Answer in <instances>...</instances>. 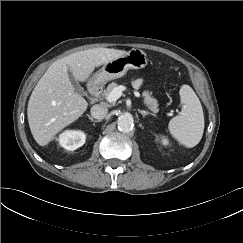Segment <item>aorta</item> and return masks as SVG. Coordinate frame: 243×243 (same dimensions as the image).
<instances>
[{
    "instance_id": "aorta-1",
    "label": "aorta",
    "mask_w": 243,
    "mask_h": 243,
    "mask_svg": "<svg viewBox=\"0 0 243 243\" xmlns=\"http://www.w3.org/2000/svg\"><path fill=\"white\" fill-rule=\"evenodd\" d=\"M133 123L134 118L128 112L122 113L117 120L118 129L122 132H129L133 127Z\"/></svg>"
}]
</instances>
